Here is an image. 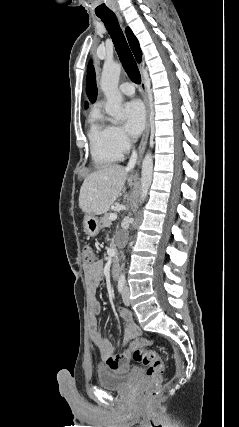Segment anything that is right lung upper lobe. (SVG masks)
Masks as SVG:
<instances>
[{"label": "right lung upper lobe", "instance_id": "obj_1", "mask_svg": "<svg viewBox=\"0 0 239 427\" xmlns=\"http://www.w3.org/2000/svg\"><path fill=\"white\" fill-rule=\"evenodd\" d=\"M126 36L136 60L140 62L142 59V52H141L137 38L134 36V34L132 33L129 27L126 28Z\"/></svg>", "mask_w": 239, "mask_h": 427}]
</instances>
